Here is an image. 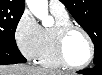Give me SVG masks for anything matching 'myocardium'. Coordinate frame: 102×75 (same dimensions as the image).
<instances>
[{"instance_id": "obj_1", "label": "myocardium", "mask_w": 102, "mask_h": 75, "mask_svg": "<svg viewBox=\"0 0 102 75\" xmlns=\"http://www.w3.org/2000/svg\"><path fill=\"white\" fill-rule=\"evenodd\" d=\"M75 30L80 31L85 36L89 44L88 60L81 65H74L68 59L65 53V40L68 37V35ZM53 45H54L55 57L63 66L73 67V68H82V67H85L87 64H89L94 56V44L90 35L83 27L73 22L60 25L55 29L54 36H53Z\"/></svg>"}]
</instances>
